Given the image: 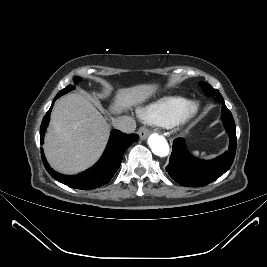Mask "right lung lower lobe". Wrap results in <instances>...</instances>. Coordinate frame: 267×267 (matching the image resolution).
<instances>
[{
	"label": "right lung lower lobe",
	"instance_id": "obj_1",
	"mask_svg": "<svg viewBox=\"0 0 267 267\" xmlns=\"http://www.w3.org/2000/svg\"><path fill=\"white\" fill-rule=\"evenodd\" d=\"M60 96L54 98L53 102ZM50 107L45 117L43 118L40 128L41 144L46 128L49 123L51 109ZM139 136L137 134H124L118 130H113L104 154L101 159L90 169L82 172L79 175L68 176L55 172L47 163L43 150L41 148L42 160L48 173L57 181L67 184L71 188L91 190L103 186L111 180L117 169L121 165L122 157L125 150L135 141Z\"/></svg>",
	"mask_w": 267,
	"mask_h": 267
}]
</instances>
